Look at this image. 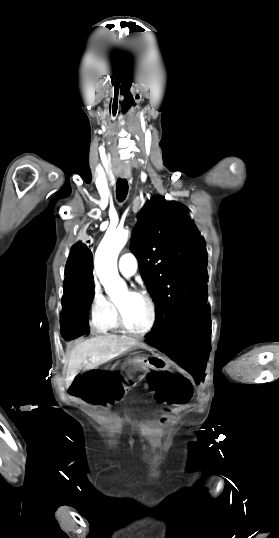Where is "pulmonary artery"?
<instances>
[{
	"label": "pulmonary artery",
	"instance_id": "pulmonary-artery-1",
	"mask_svg": "<svg viewBox=\"0 0 279 538\" xmlns=\"http://www.w3.org/2000/svg\"><path fill=\"white\" fill-rule=\"evenodd\" d=\"M118 269L125 277H131L135 274L137 266L130 254H123L118 259Z\"/></svg>",
	"mask_w": 279,
	"mask_h": 538
}]
</instances>
